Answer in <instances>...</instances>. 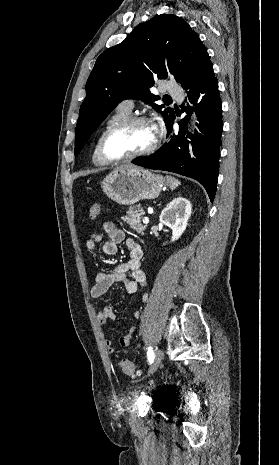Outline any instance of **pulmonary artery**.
<instances>
[{
	"label": "pulmonary artery",
	"mask_w": 279,
	"mask_h": 465,
	"mask_svg": "<svg viewBox=\"0 0 279 465\" xmlns=\"http://www.w3.org/2000/svg\"><path fill=\"white\" fill-rule=\"evenodd\" d=\"M167 91L178 99L182 98V91L177 86L169 85L167 87ZM119 107L127 112H131L134 107V103L132 100L127 99V100L122 101Z\"/></svg>",
	"instance_id": "obj_1"
}]
</instances>
